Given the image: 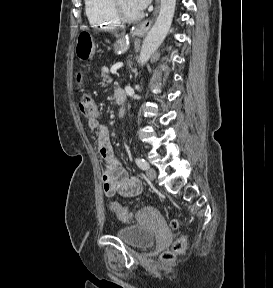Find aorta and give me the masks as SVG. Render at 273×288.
I'll list each match as a JSON object with an SVG mask.
<instances>
[{
  "label": "aorta",
  "instance_id": "aorta-1",
  "mask_svg": "<svg viewBox=\"0 0 273 288\" xmlns=\"http://www.w3.org/2000/svg\"><path fill=\"white\" fill-rule=\"evenodd\" d=\"M175 6L176 0H161L159 15L141 47L138 61L141 66L150 59L167 36L174 17Z\"/></svg>",
  "mask_w": 273,
  "mask_h": 288
}]
</instances>
